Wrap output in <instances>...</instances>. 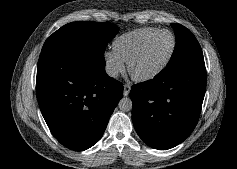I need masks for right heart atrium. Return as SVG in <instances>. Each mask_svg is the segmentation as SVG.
Masks as SVG:
<instances>
[{"mask_svg":"<svg viewBox=\"0 0 237 169\" xmlns=\"http://www.w3.org/2000/svg\"><path fill=\"white\" fill-rule=\"evenodd\" d=\"M106 70L109 75L117 76L125 69L123 59L113 50H106L103 54Z\"/></svg>","mask_w":237,"mask_h":169,"instance_id":"1","label":"right heart atrium"}]
</instances>
